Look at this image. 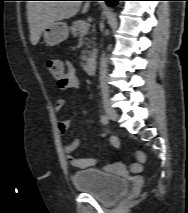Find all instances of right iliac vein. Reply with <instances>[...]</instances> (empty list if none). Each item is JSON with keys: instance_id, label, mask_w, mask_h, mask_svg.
I'll return each mask as SVG.
<instances>
[{"instance_id": "obj_1", "label": "right iliac vein", "mask_w": 188, "mask_h": 213, "mask_svg": "<svg viewBox=\"0 0 188 213\" xmlns=\"http://www.w3.org/2000/svg\"><path fill=\"white\" fill-rule=\"evenodd\" d=\"M104 109L111 120L117 121L119 119L118 113L109 104H105Z\"/></svg>"}]
</instances>
